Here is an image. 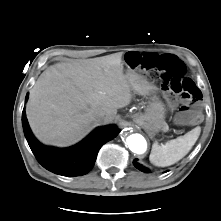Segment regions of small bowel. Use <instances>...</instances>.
Returning <instances> with one entry per match:
<instances>
[{"mask_svg": "<svg viewBox=\"0 0 221 221\" xmlns=\"http://www.w3.org/2000/svg\"><path fill=\"white\" fill-rule=\"evenodd\" d=\"M136 54L140 57V60L143 61L144 56H145L147 53H136ZM168 103H169L170 108L173 109V108L176 107V103H175L172 99H170V98H168Z\"/></svg>", "mask_w": 221, "mask_h": 221, "instance_id": "1", "label": "small bowel"}]
</instances>
